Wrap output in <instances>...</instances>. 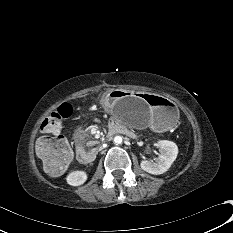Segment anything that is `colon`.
Returning <instances> with one entry per match:
<instances>
[{
  "mask_svg": "<svg viewBox=\"0 0 233 233\" xmlns=\"http://www.w3.org/2000/svg\"><path fill=\"white\" fill-rule=\"evenodd\" d=\"M71 113L72 106L62 104L42 121L41 130L46 134L57 133ZM36 151L45 171L53 176L64 172L72 158L68 142L60 136L41 137L36 144Z\"/></svg>",
  "mask_w": 233,
  "mask_h": 233,
  "instance_id": "obj_1",
  "label": "colon"
}]
</instances>
